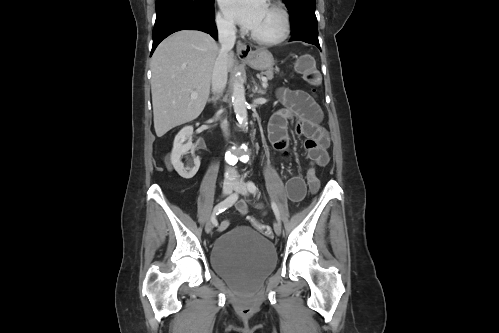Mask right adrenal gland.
<instances>
[{"instance_id":"obj_1","label":"right adrenal gland","mask_w":499,"mask_h":333,"mask_svg":"<svg viewBox=\"0 0 499 333\" xmlns=\"http://www.w3.org/2000/svg\"><path fill=\"white\" fill-rule=\"evenodd\" d=\"M220 95H214L210 99H208V102H216L219 99Z\"/></svg>"}]
</instances>
